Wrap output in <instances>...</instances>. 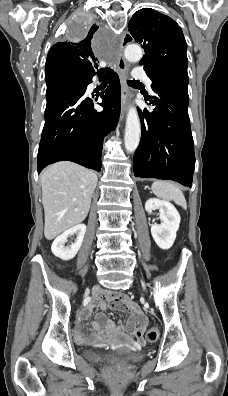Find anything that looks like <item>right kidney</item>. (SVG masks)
I'll list each match as a JSON object with an SVG mask.
<instances>
[{"label": "right kidney", "instance_id": "obj_1", "mask_svg": "<svg viewBox=\"0 0 228 396\" xmlns=\"http://www.w3.org/2000/svg\"><path fill=\"white\" fill-rule=\"evenodd\" d=\"M85 232H86V225L84 224H78L66 230L64 233L58 236L52 243L51 246L52 253L56 257L62 260H70L74 258L82 245ZM74 235L77 236L75 242L72 243L70 246H65V243L67 242L68 238Z\"/></svg>", "mask_w": 228, "mask_h": 396}]
</instances>
